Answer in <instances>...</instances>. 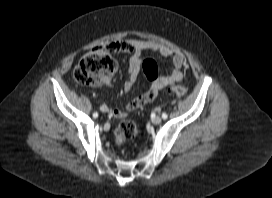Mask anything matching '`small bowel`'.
Wrapping results in <instances>:
<instances>
[{
  "label": "small bowel",
  "mask_w": 272,
  "mask_h": 198,
  "mask_svg": "<svg viewBox=\"0 0 272 198\" xmlns=\"http://www.w3.org/2000/svg\"><path fill=\"white\" fill-rule=\"evenodd\" d=\"M105 47L116 53L130 54L128 59V76L123 85V90L126 92L132 89L139 78L142 64V53L144 51H151L163 57H169L172 59L173 64V67L168 75H147V78L150 80L148 91L130 101L127 104L125 110L117 108L112 109L111 116L114 118H121L126 114V112L133 111L145 104L152 102L157 98L162 88L170 85L173 82L182 81L184 78V56L158 42L139 39L115 40L108 42ZM110 85L111 82L107 81L106 86Z\"/></svg>",
  "instance_id": "small-bowel-1"
}]
</instances>
